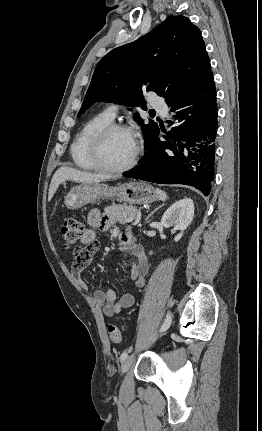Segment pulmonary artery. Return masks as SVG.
<instances>
[{
  "instance_id": "e3ab8cb5",
  "label": "pulmonary artery",
  "mask_w": 262,
  "mask_h": 431,
  "mask_svg": "<svg viewBox=\"0 0 262 431\" xmlns=\"http://www.w3.org/2000/svg\"><path fill=\"white\" fill-rule=\"evenodd\" d=\"M151 105L154 108H156L158 111H160L163 115H166L168 112L165 101L161 97L156 96L151 102ZM117 111H118L117 105H111L107 108L106 113L109 115L110 118L114 119L117 115Z\"/></svg>"
}]
</instances>
